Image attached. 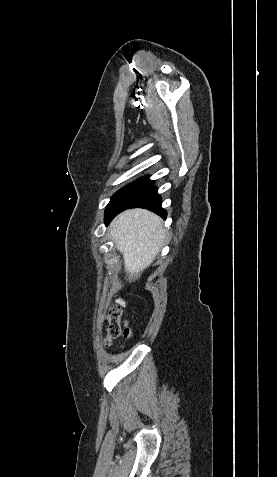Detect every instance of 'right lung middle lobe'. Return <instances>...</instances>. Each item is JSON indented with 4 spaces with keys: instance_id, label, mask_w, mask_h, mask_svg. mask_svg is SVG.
Here are the masks:
<instances>
[{
    "instance_id": "dd1d6c3e",
    "label": "right lung middle lobe",
    "mask_w": 277,
    "mask_h": 477,
    "mask_svg": "<svg viewBox=\"0 0 277 477\" xmlns=\"http://www.w3.org/2000/svg\"><path fill=\"white\" fill-rule=\"evenodd\" d=\"M153 183L149 176L142 177L116 192L106 207L105 223L108 224L118 213L130 206Z\"/></svg>"
}]
</instances>
